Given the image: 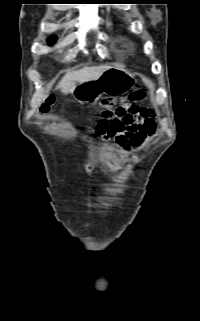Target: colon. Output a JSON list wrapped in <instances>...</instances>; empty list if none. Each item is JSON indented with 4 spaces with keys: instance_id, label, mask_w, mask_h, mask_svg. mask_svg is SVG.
I'll return each instance as SVG.
<instances>
[{
    "instance_id": "obj_1",
    "label": "colon",
    "mask_w": 200,
    "mask_h": 321,
    "mask_svg": "<svg viewBox=\"0 0 200 321\" xmlns=\"http://www.w3.org/2000/svg\"><path fill=\"white\" fill-rule=\"evenodd\" d=\"M144 98V93L141 91L133 92L130 96L123 101L116 103L112 99H106L103 101L104 110L102 112V117L106 120H116L121 116L125 115L129 111H141L143 108L139 107L136 102L141 101ZM53 99L48 98L46 102L42 105V111H47L52 105Z\"/></svg>"
}]
</instances>
